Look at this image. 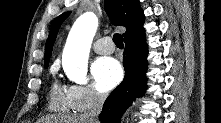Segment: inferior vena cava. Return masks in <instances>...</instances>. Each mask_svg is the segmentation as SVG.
<instances>
[{
	"label": "inferior vena cava",
	"instance_id": "1",
	"mask_svg": "<svg viewBox=\"0 0 221 123\" xmlns=\"http://www.w3.org/2000/svg\"><path fill=\"white\" fill-rule=\"evenodd\" d=\"M106 99V94L94 92L93 93V103L90 111L86 114L90 122L98 123L97 118L103 108Z\"/></svg>",
	"mask_w": 221,
	"mask_h": 123
}]
</instances>
